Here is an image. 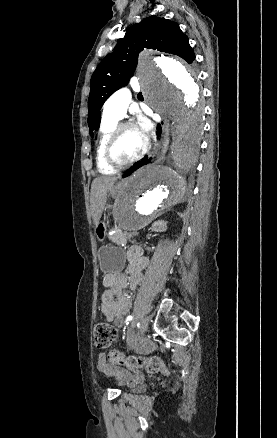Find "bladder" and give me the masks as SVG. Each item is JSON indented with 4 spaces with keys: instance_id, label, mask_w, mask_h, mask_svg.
Returning a JSON list of instances; mask_svg holds the SVG:
<instances>
[{
    "instance_id": "31cf9c89",
    "label": "bladder",
    "mask_w": 277,
    "mask_h": 438,
    "mask_svg": "<svg viewBox=\"0 0 277 438\" xmlns=\"http://www.w3.org/2000/svg\"><path fill=\"white\" fill-rule=\"evenodd\" d=\"M140 380L138 379H132L130 382H128L127 386H130L131 389H133L135 386L139 384Z\"/></svg>"
}]
</instances>
